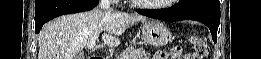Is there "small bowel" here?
<instances>
[{
	"label": "small bowel",
	"mask_w": 261,
	"mask_h": 59,
	"mask_svg": "<svg viewBox=\"0 0 261 59\" xmlns=\"http://www.w3.org/2000/svg\"><path fill=\"white\" fill-rule=\"evenodd\" d=\"M194 57L193 54H186L185 55V59H195V58H192ZM168 58H171L168 53L164 52V51H159L156 56H155V59H168Z\"/></svg>",
	"instance_id": "obj_1"
}]
</instances>
